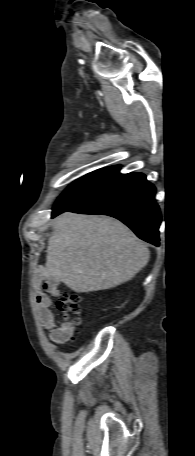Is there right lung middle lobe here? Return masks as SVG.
Listing matches in <instances>:
<instances>
[{
  "label": "right lung middle lobe",
  "mask_w": 195,
  "mask_h": 456,
  "mask_svg": "<svg viewBox=\"0 0 195 456\" xmlns=\"http://www.w3.org/2000/svg\"><path fill=\"white\" fill-rule=\"evenodd\" d=\"M119 174L116 168L99 169L74 181L58 198L52 214L62 213L82 203L105 188Z\"/></svg>",
  "instance_id": "dd1d6c3e"
}]
</instances>
